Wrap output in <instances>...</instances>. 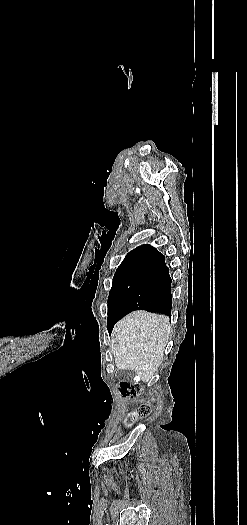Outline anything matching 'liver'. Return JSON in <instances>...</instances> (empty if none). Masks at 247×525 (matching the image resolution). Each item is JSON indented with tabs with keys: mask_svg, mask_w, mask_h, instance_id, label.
I'll return each mask as SVG.
<instances>
[{
	"mask_svg": "<svg viewBox=\"0 0 247 525\" xmlns=\"http://www.w3.org/2000/svg\"><path fill=\"white\" fill-rule=\"evenodd\" d=\"M169 317L132 311L116 323L111 333V353L116 369L135 371L149 383L164 359L171 335Z\"/></svg>",
	"mask_w": 247,
	"mask_h": 525,
	"instance_id": "6515ba94",
	"label": "liver"
}]
</instances>
